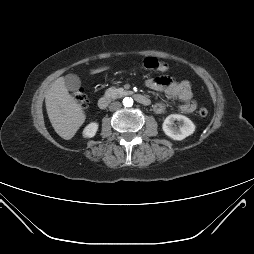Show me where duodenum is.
<instances>
[{
  "label": "duodenum",
  "mask_w": 254,
  "mask_h": 254,
  "mask_svg": "<svg viewBox=\"0 0 254 254\" xmlns=\"http://www.w3.org/2000/svg\"><path fill=\"white\" fill-rule=\"evenodd\" d=\"M134 99H136L137 102H139L142 105H149L150 104V99L140 93H132L130 94ZM112 98L109 95H104L98 100V107L100 109H105L111 102Z\"/></svg>",
  "instance_id": "duodenum-1"
}]
</instances>
